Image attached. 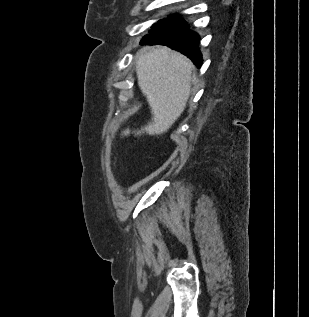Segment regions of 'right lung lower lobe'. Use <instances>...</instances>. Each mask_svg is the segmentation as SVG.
<instances>
[{"instance_id":"98d812e1","label":"right lung lower lobe","mask_w":309,"mask_h":317,"mask_svg":"<svg viewBox=\"0 0 309 317\" xmlns=\"http://www.w3.org/2000/svg\"><path fill=\"white\" fill-rule=\"evenodd\" d=\"M150 33L141 40V45H166L186 55L198 68L202 65L199 36L190 31L186 21L179 16L173 15L158 21Z\"/></svg>"}]
</instances>
